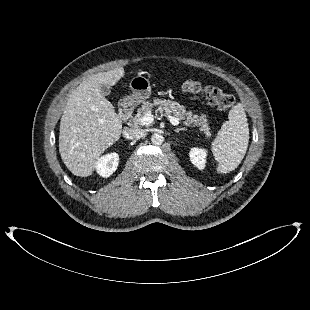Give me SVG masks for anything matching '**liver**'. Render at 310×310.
<instances>
[{
    "mask_svg": "<svg viewBox=\"0 0 310 310\" xmlns=\"http://www.w3.org/2000/svg\"><path fill=\"white\" fill-rule=\"evenodd\" d=\"M124 75L122 67L96 73L70 94L60 122L59 152L72 174L90 176L100 156L119 140L121 118L100 86H114Z\"/></svg>",
    "mask_w": 310,
    "mask_h": 310,
    "instance_id": "liver-1",
    "label": "liver"
}]
</instances>
